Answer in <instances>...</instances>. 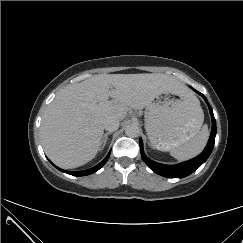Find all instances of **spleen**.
Listing matches in <instances>:
<instances>
[{
	"label": "spleen",
	"mask_w": 243,
	"mask_h": 243,
	"mask_svg": "<svg viewBox=\"0 0 243 243\" xmlns=\"http://www.w3.org/2000/svg\"><path fill=\"white\" fill-rule=\"evenodd\" d=\"M200 116L202 117V120L204 118L203 111L201 108H199ZM203 123V121H202ZM202 126V124H201ZM209 137V131L208 126L203 125L200 131L197 132V134L191 138L189 141L185 142L182 145H179L175 148H172L170 150L171 156L176 158L177 160H187L190 158H193L197 156L201 151L204 149L207 140Z\"/></svg>",
	"instance_id": "3e777b00"
}]
</instances>
